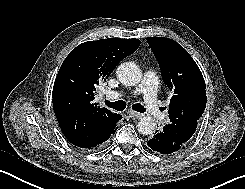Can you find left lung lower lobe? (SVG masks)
I'll return each mask as SVG.
<instances>
[{
  "instance_id": "0a47b994",
  "label": "left lung lower lobe",
  "mask_w": 245,
  "mask_h": 189,
  "mask_svg": "<svg viewBox=\"0 0 245 189\" xmlns=\"http://www.w3.org/2000/svg\"><path fill=\"white\" fill-rule=\"evenodd\" d=\"M147 145L153 151L162 154H171L180 150L185 143L172 141V138L164 131V129H160L147 141Z\"/></svg>"
}]
</instances>
